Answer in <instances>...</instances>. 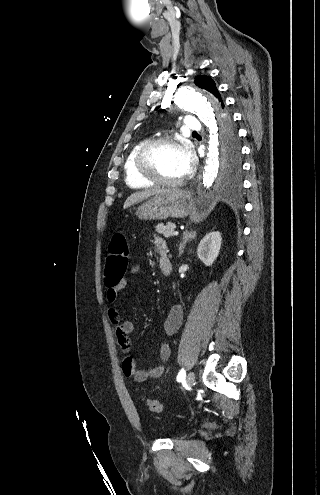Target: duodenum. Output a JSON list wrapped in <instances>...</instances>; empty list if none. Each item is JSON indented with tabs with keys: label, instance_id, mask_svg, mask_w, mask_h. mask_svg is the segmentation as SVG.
<instances>
[{
	"label": "duodenum",
	"instance_id": "duodenum-1",
	"mask_svg": "<svg viewBox=\"0 0 320 495\" xmlns=\"http://www.w3.org/2000/svg\"><path fill=\"white\" fill-rule=\"evenodd\" d=\"M161 258H160V269L161 272L165 275L168 276L171 274L173 265L172 262L168 256V250L166 248L162 249L160 251Z\"/></svg>",
	"mask_w": 320,
	"mask_h": 495
}]
</instances>
